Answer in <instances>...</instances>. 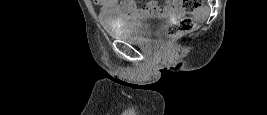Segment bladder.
Listing matches in <instances>:
<instances>
[{"label":"bladder","instance_id":"1","mask_svg":"<svg viewBox=\"0 0 267 115\" xmlns=\"http://www.w3.org/2000/svg\"><path fill=\"white\" fill-rule=\"evenodd\" d=\"M166 17L161 14H144L138 20L127 24L106 26L108 34L116 39L130 42H143L152 38L165 23Z\"/></svg>","mask_w":267,"mask_h":115}]
</instances>
